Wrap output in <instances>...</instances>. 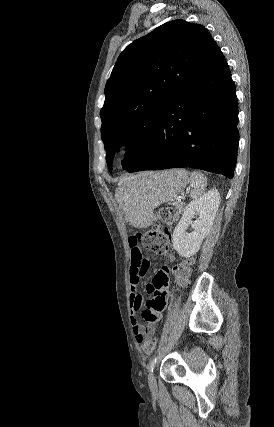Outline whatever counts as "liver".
I'll return each mask as SVG.
<instances>
[{"label": "liver", "mask_w": 274, "mask_h": 427, "mask_svg": "<svg viewBox=\"0 0 274 427\" xmlns=\"http://www.w3.org/2000/svg\"><path fill=\"white\" fill-rule=\"evenodd\" d=\"M132 178H135V176H125V178H121V180H119L118 186H121V188H124L125 184H130V186H132ZM119 190H120V188H118V190L116 192V198H117L120 206H122L120 200L122 198L123 192H119ZM122 210H123V212H125L123 206H122Z\"/></svg>", "instance_id": "6515ba94"}]
</instances>
